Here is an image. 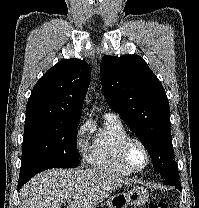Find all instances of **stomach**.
Here are the masks:
<instances>
[{"label":"stomach","mask_w":199,"mask_h":208,"mask_svg":"<svg viewBox=\"0 0 199 208\" xmlns=\"http://www.w3.org/2000/svg\"><path fill=\"white\" fill-rule=\"evenodd\" d=\"M149 198L148 191L139 185L131 186L127 191L119 192L106 201L108 208H129L144 205Z\"/></svg>","instance_id":"stomach-1"}]
</instances>
